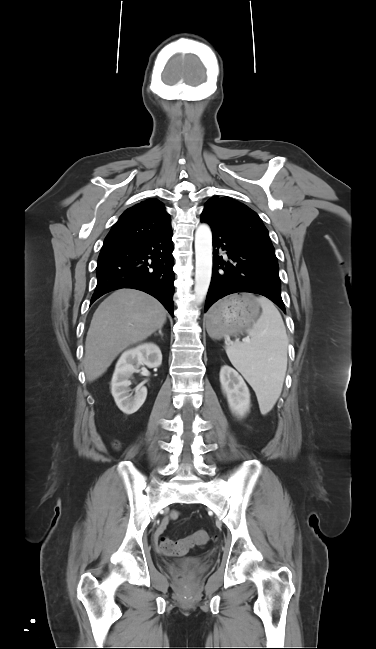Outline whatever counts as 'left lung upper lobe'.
<instances>
[{"instance_id": "5c2ea615", "label": "left lung upper lobe", "mask_w": 376, "mask_h": 649, "mask_svg": "<svg viewBox=\"0 0 376 649\" xmlns=\"http://www.w3.org/2000/svg\"><path fill=\"white\" fill-rule=\"evenodd\" d=\"M202 216L215 225L275 252L268 230L260 217L243 203L229 197H212L205 204Z\"/></svg>"}]
</instances>
